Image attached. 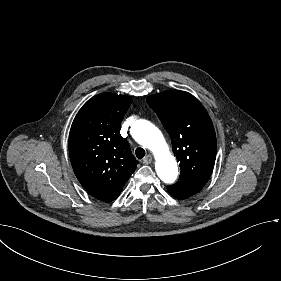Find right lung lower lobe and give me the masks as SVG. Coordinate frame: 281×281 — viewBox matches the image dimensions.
Returning <instances> with one entry per match:
<instances>
[{
	"instance_id": "obj_1",
	"label": "right lung lower lobe",
	"mask_w": 281,
	"mask_h": 281,
	"mask_svg": "<svg viewBox=\"0 0 281 281\" xmlns=\"http://www.w3.org/2000/svg\"><path fill=\"white\" fill-rule=\"evenodd\" d=\"M122 191V190H121ZM121 191L112 199V200H114V199H116L118 196H119V194L121 193ZM112 200H110V201H112ZM109 202V201H108Z\"/></svg>"
}]
</instances>
